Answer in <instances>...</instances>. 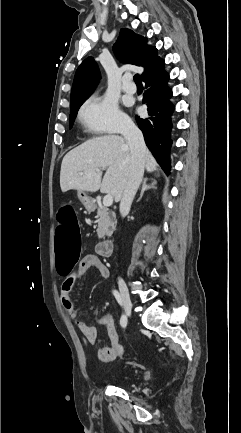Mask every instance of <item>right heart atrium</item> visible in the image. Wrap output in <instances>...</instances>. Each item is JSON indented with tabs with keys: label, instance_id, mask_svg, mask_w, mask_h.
<instances>
[{
	"label": "right heart atrium",
	"instance_id": "obj_1",
	"mask_svg": "<svg viewBox=\"0 0 241 433\" xmlns=\"http://www.w3.org/2000/svg\"><path fill=\"white\" fill-rule=\"evenodd\" d=\"M79 120L90 133H122L131 128V121L108 96L92 95L80 107Z\"/></svg>",
	"mask_w": 241,
	"mask_h": 433
}]
</instances>
